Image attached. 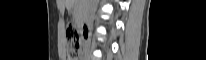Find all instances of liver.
Listing matches in <instances>:
<instances>
[{
  "mask_svg": "<svg viewBox=\"0 0 206 60\" xmlns=\"http://www.w3.org/2000/svg\"><path fill=\"white\" fill-rule=\"evenodd\" d=\"M76 0H65L66 4L74 3Z\"/></svg>",
  "mask_w": 206,
  "mask_h": 60,
  "instance_id": "obj_1",
  "label": "liver"
}]
</instances>
